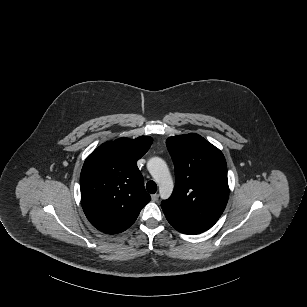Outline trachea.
<instances>
[{
    "instance_id": "3493384b",
    "label": "trachea",
    "mask_w": 307,
    "mask_h": 307,
    "mask_svg": "<svg viewBox=\"0 0 307 307\" xmlns=\"http://www.w3.org/2000/svg\"><path fill=\"white\" fill-rule=\"evenodd\" d=\"M146 189L149 193L154 194L157 191V185L154 181H148L146 183Z\"/></svg>"
}]
</instances>
